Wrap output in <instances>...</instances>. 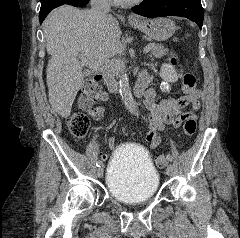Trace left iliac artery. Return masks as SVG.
<instances>
[{"mask_svg": "<svg viewBox=\"0 0 240 238\" xmlns=\"http://www.w3.org/2000/svg\"><path fill=\"white\" fill-rule=\"evenodd\" d=\"M167 159H168L170 162H172V161H173L172 155L168 154V155H167Z\"/></svg>", "mask_w": 240, "mask_h": 238, "instance_id": "obj_1", "label": "left iliac artery"}]
</instances>
